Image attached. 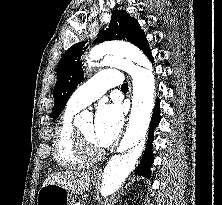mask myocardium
<instances>
[{
	"instance_id": "1",
	"label": "myocardium",
	"mask_w": 222,
	"mask_h": 205,
	"mask_svg": "<svg viewBox=\"0 0 222 205\" xmlns=\"http://www.w3.org/2000/svg\"><path fill=\"white\" fill-rule=\"evenodd\" d=\"M74 144L78 155L86 162L99 160L104 155L101 148L89 144L78 127L74 128Z\"/></svg>"
}]
</instances>
